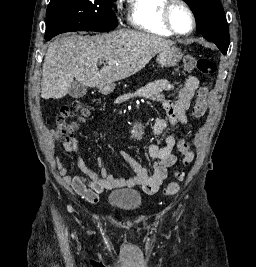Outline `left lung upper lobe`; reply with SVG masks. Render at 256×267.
I'll list each match as a JSON object with an SVG mask.
<instances>
[{
  "mask_svg": "<svg viewBox=\"0 0 256 267\" xmlns=\"http://www.w3.org/2000/svg\"><path fill=\"white\" fill-rule=\"evenodd\" d=\"M194 11L197 30L214 42L223 54L229 46V32L220 0H184Z\"/></svg>",
  "mask_w": 256,
  "mask_h": 267,
  "instance_id": "1",
  "label": "left lung upper lobe"
}]
</instances>
